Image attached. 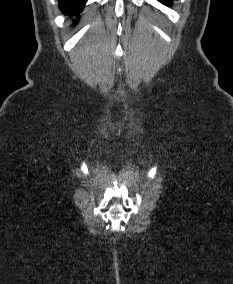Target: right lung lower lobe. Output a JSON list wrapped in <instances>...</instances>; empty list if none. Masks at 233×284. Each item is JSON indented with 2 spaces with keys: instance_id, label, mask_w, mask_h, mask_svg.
Returning a JSON list of instances; mask_svg holds the SVG:
<instances>
[{
  "instance_id": "right-lung-lower-lobe-1",
  "label": "right lung lower lobe",
  "mask_w": 233,
  "mask_h": 284,
  "mask_svg": "<svg viewBox=\"0 0 233 284\" xmlns=\"http://www.w3.org/2000/svg\"><path fill=\"white\" fill-rule=\"evenodd\" d=\"M60 10L69 16H77L82 11L87 0H58Z\"/></svg>"
}]
</instances>
